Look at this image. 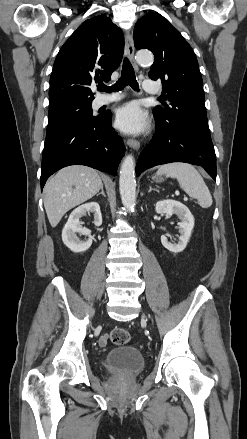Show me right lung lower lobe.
<instances>
[{"label": "right lung lower lobe", "mask_w": 247, "mask_h": 439, "mask_svg": "<svg viewBox=\"0 0 247 439\" xmlns=\"http://www.w3.org/2000/svg\"><path fill=\"white\" fill-rule=\"evenodd\" d=\"M111 113L95 120L75 121L47 131L41 166V189L57 170L69 165H87L116 175L125 154L121 137L111 126Z\"/></svg>", "instance_id": "1"}]
</instances>
